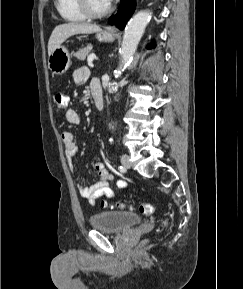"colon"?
<instances>
[{
	"instance_id": "obj_1",
	"label": "colon",
	"mask_w": 243,
	"mask_h": 289,
	"mask_svg": "<svg viewBox=\"0 0 243 289\" xmlns=\"http://www.w3.org/2000/svg\"><path fill=\"white\" fill-rule=\"evenodd\" d=\"M66 104H67L66 95L62 92L56 93L54 96V105H55L57 111L60 112V111L64 110L66 107ZM103 205L106 206V203L103 202ZM138 209L142 214H145V215H150L153 212L152 205H150L148 203L140 204ZM164 225H166V223H164Z\"/></svg>"
}]
</instances>
